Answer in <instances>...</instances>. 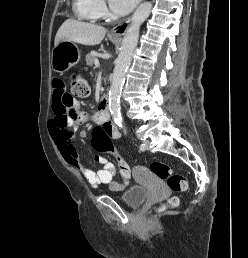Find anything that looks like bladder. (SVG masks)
I'll list each match as a JSON object with an SVG mask.
<instances>
[{"mask_svg":"<svg viewBox=\"0 0 248 258\" xmlns=\"http://www.w3.org/2000/svg\"><path fill=\"white\" fill-rule=\"evenodd\" d=\"M148 197V190L143 186H132L120 195V199L125 205L131 208H137Z\"/></svg>","mask_w":248,"mask_h":258,"instance_id":"bladder-1","label":"bladder"}]
</instances>
